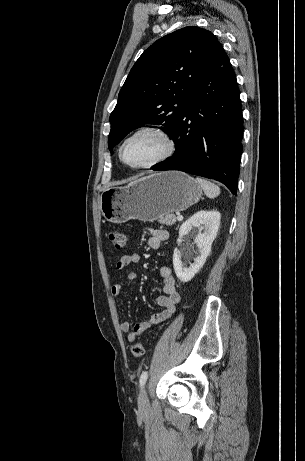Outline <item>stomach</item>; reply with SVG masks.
<instances>
[{
    "label": "stomach",
    "instance_id": "obj_1",
    "mask_svg": "<svg viewBox=\"0 0 305 461\" xmlns=\"http://www.w3.org/2000/svg\"><path fill=\"white\" fill-rule=\"evenodd\" d=\"M201 195V186L188 174L164 171L128 186L104 191L100 196V210L112 223L131 219L154 221L166 214L186 210L196 204Z\"/></svg>",
    "mask_w": 305,
    "mask_h": 461
}]
</instances>
